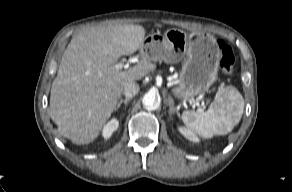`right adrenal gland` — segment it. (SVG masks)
Here are the masks:
<instances>
[{
	"label": "right adrenal gland",
	"mask_w": 292,
	"mask_h": 192,
	"mask_svg": "<svg viewBox=\"0 0 292 192\" xmlns=\"http://www.w3.org/2000/svg\"><path fill=\"white\" fill-rule=\"evenodd\" d=\"M130 101V98L120 99L117 106L115 107V112L120 108L121 104L123 103L125 106Z\"/></svg>",
	"instance_id": "right-adrenal-gland-1"
}]
</instances>
